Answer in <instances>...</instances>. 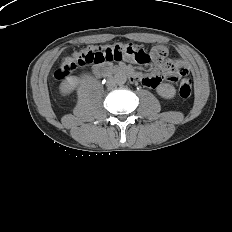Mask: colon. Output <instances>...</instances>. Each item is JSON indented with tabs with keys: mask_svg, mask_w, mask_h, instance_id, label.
<instances>
[{
	"mask_svg": "<svg viewBox=\"0 0 232 232\" xmlns=\"http://www.w3.org/2000/svg\"><path fill=\"white\" fill-rule=\"evenodd\" d=\"M151 58L163 63L162 68L166 72V79L178 83L179 95L187 99L191 95V81L185 68H177L175 64L167 59V50L163 46H157L151 53ZM126 59L137 64H146L150 61L143 49L132 46L113 45L97 48H86L77 51L72 57L64 58L54 72L57 80L64 79L78 67L89 64H99L105 61H120Z\"/></svg>",
	"mask_w": 232,
	"mask_h": 232,
	"instance_id": "1",
	"label": "colon"
}]
</instances>
